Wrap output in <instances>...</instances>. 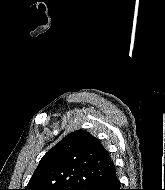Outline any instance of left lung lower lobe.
Wrapping results in <instances>:
<instances>
[{"instance_id": "1", "label": "left lung lower lobe", "mask_w": 165, "mask_h": 190, "mask_svg": "<svg viewBox=\"0 0 165 190\" xmlns=\"http://www.w3.org/2000/svg\"><path fill=\"white\" fill-rule=\"evenodd\" d=\"M94 190H122L120 189L115 166Z\"/></svg>"}]
</instances>
